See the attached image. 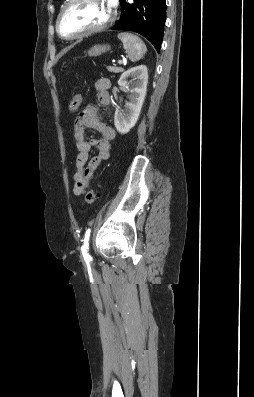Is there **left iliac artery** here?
Wrapping results in <instances>:
<instances>
[{"mask_svg":"<svg viewBox=\"0 0 254 397\" xmlns=\"http://www.w3.org/2000/svg\"><path fill=\"white\" fill-rule=\"evenodd\" d=\"M90 228L86 230L85 233V237H84V243L82 245V254L85 258V260L90 261L91 260V256L88 254V241H89V237H90Z\"/></svg>","mask_w":254,"mask_h":397,"instance_id":"left-iliac-artery-1","label":"left iliac artery"}]
</instances>
